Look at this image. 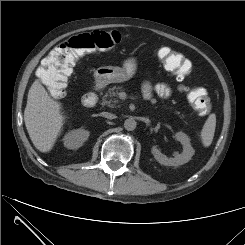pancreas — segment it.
Returning <instances> with one entry per match:
<instances>
[{
  "mask_svg": "<svg viewBox=\"0 0 245 245\" xmlns=\"http://www.w3.org/2000/svg\"><path fill=\"white\" fill-rule=\"evenodd\" d=\"M122 91V87H116L113 86L108 89V91L105 93V95L102 98V105L109 106V107H114L119 101H118V95L119 92Z\"/></svg>",
  "mask_w": 245,
  "mask_h": 245,
  "instance_id": "obj_1",
  "label": "pancreas"
}]
</instances>
